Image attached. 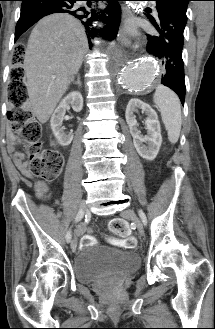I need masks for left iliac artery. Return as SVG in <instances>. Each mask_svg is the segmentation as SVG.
Segmentation results:
<instances>
[{"instance_id":"44dca946","label":"left iliac artery","mask_w":215,"mask_h":329,"mask_svg":"<svg viewBox=\"0 0 215 329\" xmlns=\"http://www.w3.org/2000/svg\"><path fill=\"white\" fill-rule=\"evenodd\" d=\"M139 216H140L143 224L146 225L147 224V218H146V216H145V214L142 210H139Z\"/></svg>"}]
</instances>
